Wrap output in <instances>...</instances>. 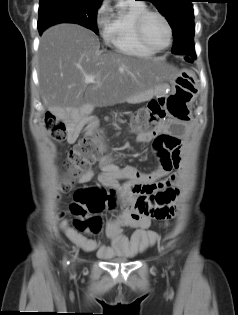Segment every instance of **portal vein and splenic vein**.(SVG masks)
Instances as JSON below:
<instances>
[{
    "instance_id": "obj_1",
    "label": "portal vein and splenic vein",
    "mask_w": 238,
    "mask_h": 315,
    "mask_svg": "<svg viewBox=\"0 0 238 315\" xmlns=\"http://www.w3.org/2000/svg\"><path fill=\"white\" fill-rule=\"evenodd\" d=\"M95 81V76L94 75H89L85 77V82L86 83H92Z\"/></svg>"
}]
</instances>
